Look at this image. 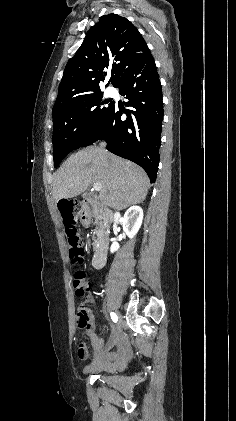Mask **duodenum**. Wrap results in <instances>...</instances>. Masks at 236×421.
Here are the masks:
<instances>
[{"label": "duodenum", "instance_id": "obj_1", "mask_svg": "<svg viewBox=\"0 0 236 421\" xmlns=\"http://www.w3.org/2000/svg\"><path fill=\"white\" fill-rule=\"evenodd\" d=\"M97 203L90 199H82L73 203V210L79 217L80 222L84 226L90 224L91 218L97 212ZM101 218L110 222L113 219L111 212L107 210L100 211ZM109 242L106 237L102 238L97 244L93 257L92 265L96 269L102 268L106 263ZM119 346V351L116 356H110L109 353H102L99 355L94 363V370H114L121 367L129 358V345L127 342L119 339L116 341Z\"/></svg>", "mask_w": 236, "mask_h": 421}]
</instances>
